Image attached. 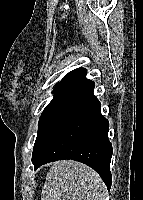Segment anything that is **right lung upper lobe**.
Here are the masks:
<instances>
[{
    "instance_id": "obj_1",
    "label": "right lung upper lobe",
    "mask_w": 143,
    "mask_h": 200,
    "mask_svg": "<svg viewBox=\"0 0 143 200\" xmlns=\"http://www.w3.org/2000/svg\"><path fill=\"white\" fill-rule=\"evenodd\" d=\"M81 70H82V68H78V69H75V70L69 72L61 81L68 79L69 77L73 76L74 74H76L77 72H79Z\"/></svg>"
}]
</instances>
